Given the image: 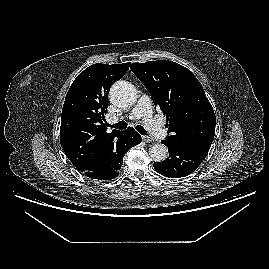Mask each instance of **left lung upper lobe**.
Instances as JSON below:
<instances>
[{
  "label": "left lung upper lobe",
  "mask_w": 269,
  "mask_h": 269,
  "mask_svg": "<svg viewBox=\"0 0 269 269\" xmlns=\"http://www.w3.org/2000/svg\"><path fill=\"white\" fill-rule=\"evenodd\" d=\"M130 69L166 116L165 139L179 147L210 148L216 126L214 110L195 75L168 60L132 63Z\"/></svg>",
  "instance_id": "1"
}]
</instances>
